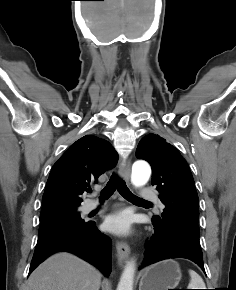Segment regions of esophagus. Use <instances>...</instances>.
Returning a JSON list of instances; mask_svg holds the SVG:
<instances>
[{"label":"esophagus","mask_w":236,"mask_h":290,"mask_svg":"<svg viewBox=\"0 0 236 290\" xmlns=\"http://www.w3.org/2000/svg\"><path fill=\"white\" fill-rule=\"evenodd\" d=\"M130 164H131L130 159H127L120 164L119 170H118L120 177L124 179L126 183L129 182V178H130ZM116 250H117L118 263L119 265H122L130 254V247L124 241H117Z\"/></svg>","instance_id":"esophagus-1"}]
</instances>
